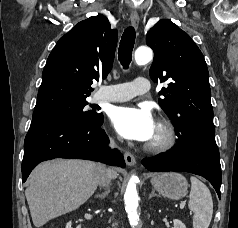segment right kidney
Wrapping results in <instances>:
<instances>
[{
    "label": "right kidney",
    "mask_w": 238,
    "mask_h": 228,
    "mask_svg": "<svg viewBox=\"0 0 238 228\" xmlns=\"http://www.w3.org/2000/svg\"><path fill=\"white\" fill-rule=\"evenodd\" d=\"M66 228H71V221L67 223Z\"/></svg>",
    "instance_id": "right-kidney-1"
}]
</instances>
